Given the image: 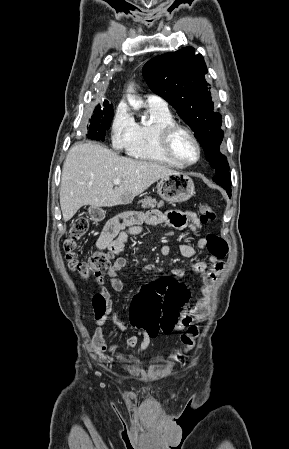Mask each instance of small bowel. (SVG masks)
<instances>
[{
    "label": "small bowel",
    "instance_id": "c3829d8e",
    "mask_svg": "<svg viewBox=\"0 0 289 449\" xmlns=\"http://www.w3.org/2000/svg\"><path fill=\"white\" fill-rule=\"evenodd\" d=\"M143 224H166L177 229L188 227L193 233H198L202 227V222L194 211L171 210L163 213L151 210L109 221L96 241V246L99 249H108L114 254H119L130 236H135L142 232ZM206 248L207 240L201 237L197 240L196 247L188 243L181 244L180 253L185 258H192L196 255L197 249L204 250ZM160 253L163 256H169L171 253L170 246L163 245L160 248ZM126 266L127 260L124 257H118L107 272L99 275L95 280L99 295L105 301V307L96 319L97 327L93 335V346L96 352L105 359H107L104 355L106 352L114 353L119 350L120 346L117 344L106 345L102 326L108 320H111L119 331H125L127 325L120 321L114 313L111 295L104 287V284L108 280L115 291H122L125 287V282L122 278L118 277L117 273ZM223 267V260L214 256L210 257L209 264L205 261H197L190 266L191 271L201 278L200 290L203 297L193 307H184L181 313V321L176 326V330H182L190 324L202 322L207 318L211 300L210 289ZM144 270L151 271L153 270V266L148 264L144 266ZM171 275L175 279L182 278L185 275V270L183 268H174L171 271ZM139 338H142L139 345V352H144L151 342V337L144 330H139L136 334L130 336L126 341V347L134 348L138 344Z\"/></svg>",
    "mask_w": 289,
    "mask_h": 449
}]
</instances>
